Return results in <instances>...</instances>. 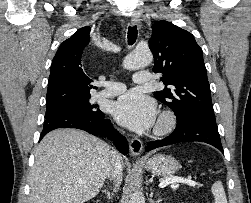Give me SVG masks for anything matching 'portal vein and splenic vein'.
Returning <instances> with one entry per match:
<instances>
[{"instance_id":"obj_1","label":"portal vein and splenic vein","mask_w":251,"mask_h":203,"mask_svg":"<svg viewBox=\"0 0 251 203\" xmlns=\"http://www.w3.org/2000/svg\"><path fill=\"white\" fill-rule=\"evenodd\" d=\"M171 183H183V184H186V185H189V186H192V187H195L197 185V183L195 181L187 180V179L180 178V177H174V178H169V179H166V180L162 181L159 184V187L164 188V187H166L167 185H169Z\"/></svg>"}]
</instances>
